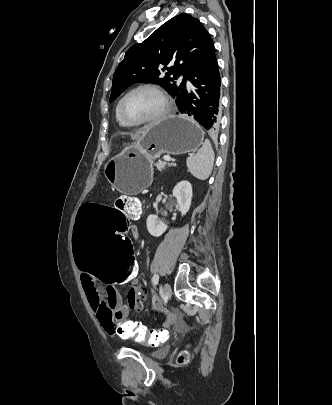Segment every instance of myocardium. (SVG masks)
Returning <instances> with one entry per match:
<instances>
[{
	"instance_id": "myocardium-1",
	"label": "myocardium",
	"mask_w": 332,
	"mask_h": 405,
	"mask_svg": "<svg viewBox=\"0 0 332 405\" xmlns=\"http://www.w3.org/2000/svg\"><path fill=\"white\" fill-rule=\"evenodd\" d=\"M141 89H149V90H152L155 93H157L162 100V108L155 116H153L151 118L141 120V121H131L128 118H126V116L124 115L123 104L129 95H131L135 91H138ZM170 111H171V101H170V98L168 97L167 93L159 85L153 84V83H143V84H139V85L133 87L128 92H126L118 102L119 117L121 118V120L123 122H125L129 126H141V125L156 123V122L164 119L170 113Z\"/></svg>"
}]
</instances>
